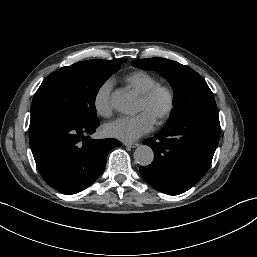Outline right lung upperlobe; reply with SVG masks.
Returning a JSON list of instances; mask_svg holds the SVG:
<instances>
[{"label":"right lung upper lobe","instance_id":"1","mask_svg":"<svg viewBox=\"0 0 257 257\" xmlns=\"http://www.w3.org/2000/svg\"><path fill=\"white\" fill-rule=\"evenodd\" d=\"M122 59H124L125 61H126V59L125 58H122ZM91 62H96V63H100V64H102V63H106V62H109V61H106V60H97V59H93V60H90Z\"/></svg>","mask_w":257,"mask_h":257}]
</instances>
